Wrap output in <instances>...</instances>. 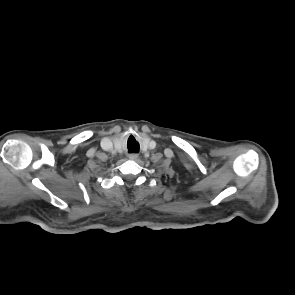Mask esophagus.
<instances>
[{
  "mask_svg": "<svg viewBox=\"0 0 295 295\" xmlns=\"http://www.w3.org/2000/svg\"><path fill=\"white\" fill-rule=\"evenodd\" d=\"M128 157H129V159H131V160H136V159L138 158V154H136V153H132V154H129Z\"/></svg>",
  "mask_w": 295,
  "mask_h": 295,
  "instance_id": "esophagus-1",
  "label": "esophagus"
}]
</instances>
